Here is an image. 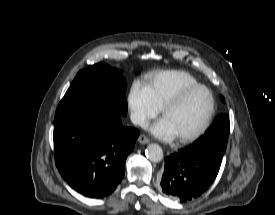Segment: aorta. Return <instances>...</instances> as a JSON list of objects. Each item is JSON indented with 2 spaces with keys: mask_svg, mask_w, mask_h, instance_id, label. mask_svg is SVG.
I'll use <instances>...</instances> for the list:
<instances>
[{
  "mask_svg": "<svg viewBox=\"0 0 275 215\" xmlns=\"http://www.w3.org/2000/svg\"><path fill=\"white\" fill-rule=\"evenodd\" d=\"M146 156L152 162H160L163 159V150L158 144H149Z\"/></svg>",
  "mask_w": 275,
  "mask_h": 215,
  "instance_id": "1",
  "label": "aorta"
}]
</instances>
